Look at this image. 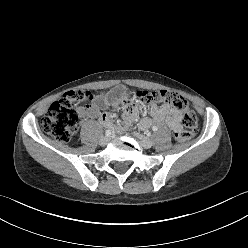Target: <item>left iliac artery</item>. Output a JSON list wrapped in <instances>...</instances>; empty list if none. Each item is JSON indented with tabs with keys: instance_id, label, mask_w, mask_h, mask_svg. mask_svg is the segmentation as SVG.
Wrapping results in <instances>:
<instances>
[{
	"instance_id": "obj_1",
	"label": "left iliac artery",
	"mask_w": 248,
	"mask_h": 248,
	"mask_svg": "<svg viewBox=\"0 0 248 248\" xmlns=\"http://www.w3.org/2000/svg\"><path fill=\"white\" fill-rule=\"evenodd\" d=\"M152 130L155 132V131L158 130V127H157V126H153V127H152Z\"/></svg>"
}]
</instances>
